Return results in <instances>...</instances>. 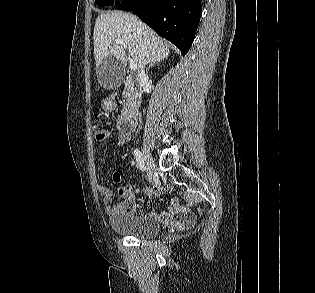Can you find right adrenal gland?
<instances>
[{
	"label": "right adrenal gland",
	"instance_id": "obj_1",
	"mask_svg": "<svg viewBox=\"0 0 315 293\" xmlns=\"http://www.w3.org/2000/svg\"><path fill=\"white\" fill-rule=\"evenodd\" d=\"M155 63H149L148 67H147V73L149 71V69L154 65Z\"/></svg>",
	"mask_w": 315,
	"mask_h": 293
}]
</instances>
